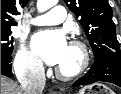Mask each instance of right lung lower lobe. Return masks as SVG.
<instances>
[{"instance_id": "1", "label": "right lung lower lobe", "mask_w": 121, "mask_h": 94, "mask_svg": "<svg viewBox=\"0 0 121 94\" xmlns=\"http://www.w3.org/2000/svg\"><path fill=\"white\" fill-rule=\"evenodd\" d=\"M11 56H1V74L7 77L13 76L12 74V66H11Z\"/></svg>"}]
</instances>
